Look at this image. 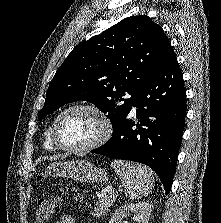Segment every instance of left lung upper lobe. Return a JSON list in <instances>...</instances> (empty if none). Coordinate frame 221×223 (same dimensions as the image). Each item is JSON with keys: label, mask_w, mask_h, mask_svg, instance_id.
Masks as SVG:
<instances>
[{"label": "left lung upper lobe", "mask_w": 221, "mask_h": 223, "mask_svg": "<svg viewBox=\"0 0 221 223\" xmlns=\"http://www.w3.org/2000/svg\"><path fill=\"white\" fill-rule=\"evenodd\" d=\"M169 40L146 15L127 17L79 43L51 80L38 120L66 103L85 100L118 128L135 95L161 68ZM130 94V99H124Z\"/></svg>", "instance_id": "5c2ea615"}]
</instances>
